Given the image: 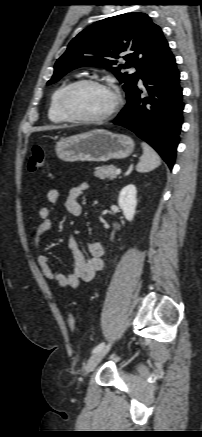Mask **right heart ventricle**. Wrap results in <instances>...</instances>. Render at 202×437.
Listing matches in <instances>:
<instances>
[{"instance_id":"1","label":"right heart ventricle","mask_w":202,"mask_h":437,"mask_svg":"<svg viewBox=\"0 0 202 437\" xmlns=\"http://www.w3.org/2000/svg\"><path fill=\"white\" fill-rule=\"evenodd\" d=\"M70 84L71 83H66V84L58 87L53 92V94L51 96L49 109H48V117H49L50 121L53 123L60 124V123H65V122L69 121L62 114V112L60 110L59 102H60V97H61L62 93Z\"/></svg>"}]
</instances>
